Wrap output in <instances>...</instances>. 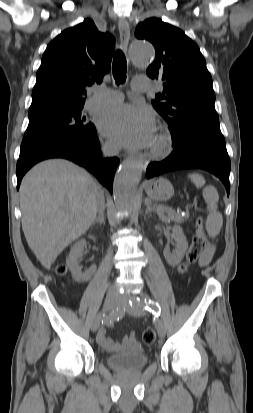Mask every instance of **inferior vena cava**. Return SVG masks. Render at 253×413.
Returning a JSON list of instances; mask_svg holds the SVG:
<instances>
[{
    "mask_svg": "<svg viewBox=\"0 0 253 413\" xmlns=\"http://www.w3.org/2000/svg\"><path fill=\"white\" fill-rule=\"evenodd\" d=\"M118 153V148L116 146H111V145H106L103 148V154L104 156H112ZM105 209V202H104V196L103 192L100 193L99 199H98V212L99 216L103 214V211Z\"/></svg>",
    "mask_w": 253,
    "mask_h": 413,
    "instance_id": "inferior-vena-cava-1",
    "label": "inferior vena cava"
}]
</instances>
